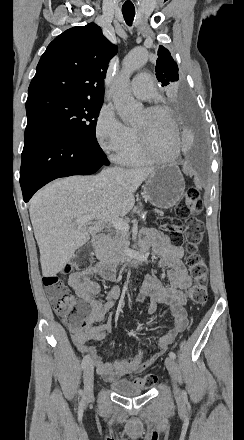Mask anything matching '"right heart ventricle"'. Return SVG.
<instances>
[{"label":"right heart ventricle","mask_w":244,"mask_h":440,"mask_svg":"<svg viewBox=\"0 0 244 440\" xmlns=\"http://www.w3.org/2000/svg\"><path fill=\"white\" fill-rule=\"evenodd\" d=\"M134 131L137 138V144L135 148L130 151L117 153L114 159L117 163L124 166H151L153 164V155L149 153V150L154 149L155 146H146L145 144V147H140L139 133L136 130Z\"/></svg>","instance_id":"1"}]
</instances>
